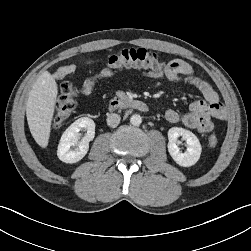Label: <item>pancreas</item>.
<instances>
[{
    "instance_id": "1",
    "label": "pancreas",
    "mask_w": 251,
    "mask_h": 251,
    "mask_svg": "<svg viewBox=\"0 0 251 251\" xmlns=\"http://www.w3.org/2000/svg\"><path fill=\"white\" fill-rule=\"evenodd\" d=\"M116 94H117V96L120 97V98L126 97V96H125V93L122 92V91H118Z\"/></svg>"
}]
</instances>
